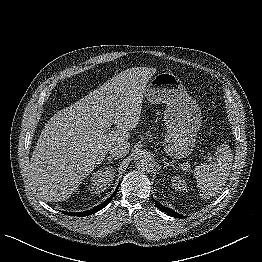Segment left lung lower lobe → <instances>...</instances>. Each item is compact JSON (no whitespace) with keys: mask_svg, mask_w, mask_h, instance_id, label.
I'll return each instance as SVG.
<instances>
[{"mask_svg":"<svg viewBox=\"0 0 262 262\" xmlns=\"http://www.w3.org/2000/svg\"><path fill=\"white\" fill-rule=\"evenodd\" d=\"M156 207L162 210L163 212H166L167 214L171 215L172 217L176 218H184L185 216L178 214L177 212L173 211L172 209H169L168 207H165L159 203H155Z\"/></svg>","mask_w":262,"mask_h":262,"instance_id":"0a47b994","label":"left lung lower lobe"}]
</instances>
